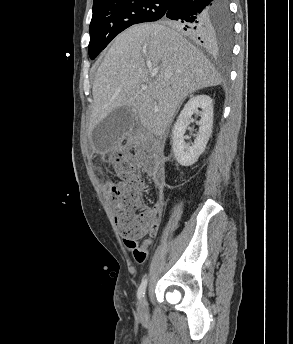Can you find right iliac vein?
Listing matches in <instances>:
<instances>
[{
	"label": "right iliac vein",
	"mask_w": 293,
	"mask_h": 344,
	"mask_svg": "<svg viewBox=\"0 0 293 344\" xmlns=\"http://www.w3.org/2000/svg\"><path fill=\"white\" fill-rule=\"evenodd\" d=\"M138 314L142 319L148 316V307L145 298H143L139 304Z\"/></svg>",
	"instance_id": "obj_1"
}]
</instances>
